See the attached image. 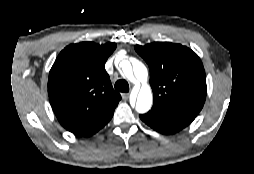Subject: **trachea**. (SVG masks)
<instances>
[{
  "label": "trachea",
  "instance_id": "obj_1",
  "mask_svg": "<svg viewBox=\"0 0 254 174\" xmlns=\"http://www.w3.org/2000/svg\"><path fill=\"white\" fill-rule=\"evenodd\" d=\"M115 89L120 92H128L129 91V84L125 80H118L115 83Z\"/></svg>",
  "mask_w": 254,
  "mask_h": 174
}]
</instances>
